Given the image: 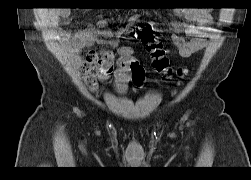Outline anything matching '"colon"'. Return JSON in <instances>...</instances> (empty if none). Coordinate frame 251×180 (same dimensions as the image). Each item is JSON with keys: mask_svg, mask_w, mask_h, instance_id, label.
Returning <instances> with one entry per match:
<instances>
[{"mask_svg": "<svg viewBox=\"0 0 251 180\" xmlns=\"http://www.w3.org/2000/svg\"><path fill=\"white\" fill-rule=\"evenodd\" d=\"M134 35L135 38L145 46L146 51L150 54L154 70L165 75H170L172 70L169 61L165 56L163 45L158 37L149 29L142 27H137ZM178 73L181 74L182 70H179Z\"/></svg>", "mask_w": 251, "mask_h": 180, "instance_id": "colon-1", "label": "colon"}]
</instances>
